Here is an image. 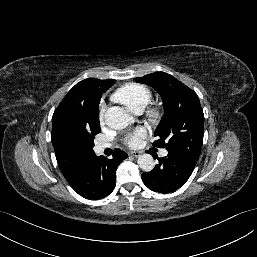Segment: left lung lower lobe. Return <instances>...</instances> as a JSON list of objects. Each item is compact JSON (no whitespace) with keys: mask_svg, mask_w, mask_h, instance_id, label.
Instances as JSON below:
<instances>
[{"mask_svg":"<svg viewBox=\"0 0 257 257\" xmlns=\"http://www.w3.org/2000/svg\"><path fill=\"white\" fill-rule=\"evenodd\" d=\"M158 161L152 171L142 173V180L150 190L164 194L183 186L197 163V159L177 151H168Z\"/></svg>","mask_w":257,"mask_h":257,"instance_id":"0a47b994","label":"left lung lower lobe"}]
</instances>
